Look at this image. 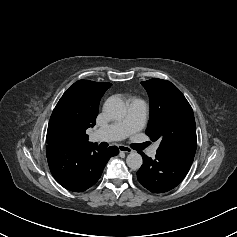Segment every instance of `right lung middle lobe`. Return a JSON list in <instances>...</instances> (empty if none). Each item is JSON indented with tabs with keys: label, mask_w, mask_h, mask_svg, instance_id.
<instances>
[{
	"label": "right lung middle lobe",
	"mask_w": 237,
	"mask_h": 237,
	"mask_svg": "<svg viewBox=\"0 0 237 237\" xmlns=\"http://www.w3.org/2000/svg\"><path fill=\"white\" fill-rule=\"evenodd\" d=\"M71 136L70 126L61 117L51 115L46 137L47 143L67 145L71 142Z\"/></svg>",
	"instance_id": "dd1d6c3e"
}]
</instances>
